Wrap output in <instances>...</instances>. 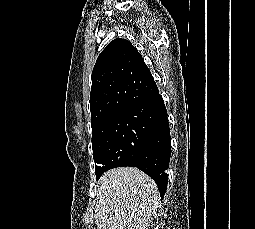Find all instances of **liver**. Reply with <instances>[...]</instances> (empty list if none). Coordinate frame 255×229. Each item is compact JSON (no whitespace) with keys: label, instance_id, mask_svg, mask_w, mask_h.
<instances>
[{"label":"liver","instance_id":"obj_1","mask_svg":"<svg viewBox=\"0 0 255 229\" xmlns=\"http://www.w3.org/2000/svg\"><path fill=\"white\" fill-rule=\"evenodd\" d=\"M155 182L133 167L106 172L98 182L95 224L98 229H147L159 207Z\"/></svg>","mask_w":255,"mask_h":229}]
</instances>
